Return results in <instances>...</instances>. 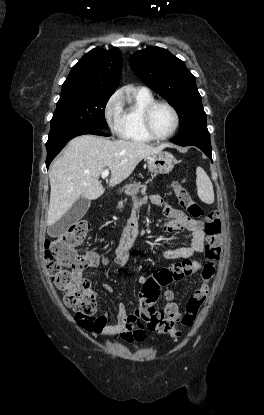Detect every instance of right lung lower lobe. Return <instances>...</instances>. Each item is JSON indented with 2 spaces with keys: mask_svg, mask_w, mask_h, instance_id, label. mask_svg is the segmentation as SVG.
Wrapping results in <instances>:
<instances>
[{
  "mask_svg": "<svg viewBox=\"0 0 264 415\" xmlns=\"http://www.w3.org/2000/svg\"><path fill=\"white\" fill-rule=\"evenodd\" d=\"M84 134H93V135H100V136H108V134L94 130V129H87L80 132H76L67 136L56 143L47 146V159H46V166L49 167L51 161L56 157V155L64 148V146L74 137Z\"/></svg>",
  "mask_w": 264,
  "mask_h": 415,
  "instance_id": "1",
  "label": "right lung lower lobe"
}]
</instances>
